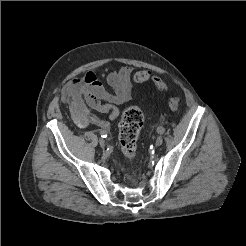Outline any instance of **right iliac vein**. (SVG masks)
I'll return each instance as SVG.
<instances>
[{"label": "right iliac vein", "mask_w": 246, "mask_h": 246, "mask_svg": "<svg viewBox=\"0 0 246 246\" xmlns=\"http://www.w3.org/2000/svg\"><path fill=\"white\" fill-rule=\"evenodd\" d=\"M99 144H100L101 147H104L105 146V140L100 138L99 139Z\"/></svg>", "instance_id": "1"}]
</instances>
